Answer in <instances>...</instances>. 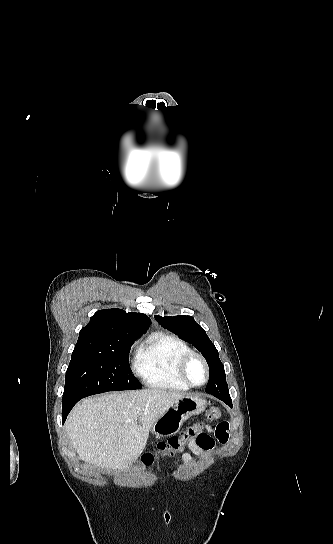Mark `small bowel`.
<instances>
[{
	"label": "small bowel",
	"mask_w": 333,
	"mask_h": 544,
	"mask_svg": "<svg viewBox=\"0 0 333 544\" xmlns=\"http://www.w3.org/2000/svg\"><path fill=\"white\" fill-rule=\"evenodd\" d=\"M229 433L230 425L226 421L219 422L214 428L208 426L206 433H203L198 439L189 442V448L195 454L209 451L214 447L215 439L220 443H226L229 440ZM210 434H213L215 439ZM181 459L183 462H189L191 454L184 453Z\"/></svg>",
	"instance_id": "c3829d8e"
}]
</instances>
